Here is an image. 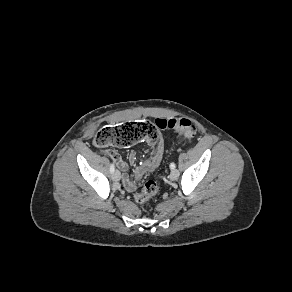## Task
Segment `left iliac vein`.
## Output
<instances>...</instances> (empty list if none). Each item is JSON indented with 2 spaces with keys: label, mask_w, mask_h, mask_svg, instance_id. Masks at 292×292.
Here are the masks:
<instances>
[{
  "label": "left iliac vein",
  "mask_w": 292,
  "mask_h": 292,
  "mask_svg": "<svg viewBox=\"0 0 292 292\" xmlns=\"http://www.w3.org/2000/svg\"><path fill=\"white\" fill-rule=\"evenodd\" d=\"M179 177V171L176 170V169H173L171 172H170V175H169V179L174 181V180H177Z\"/></svg>",
  "instance_id": "obj_1"
}]
</instances>
